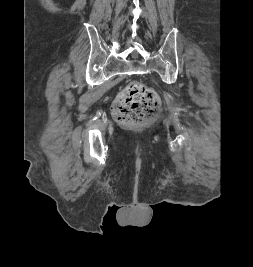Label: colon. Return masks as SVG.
Listing matches in <instances>:
<instances>
[{
    "mask_svg": "<svg viewBox=\"0 0 253 267\" xmlns=\"http://www.w3.org/2000/svg\"><path fill=\"white\" fill-rule=\"evenodd\" d=\"M157 93L141 82H131L116 97L113 115L122 124H140L153 118L160 110Z\"/></svg>",
    "mask_w": 253,
    "mask_h": 267,
    "instance_id": "1",
    "label": "colon"
}]
</instances>
